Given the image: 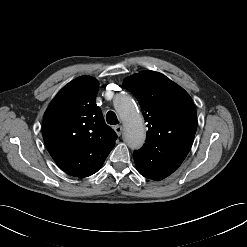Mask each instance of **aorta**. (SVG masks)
Returning <instances> with one entry per match:
<instances>
[{
	"mask_svg": "<svg viewBox=\"0 0 247 247\" xmlns=\"http://www.w3.org/2000/svg\"><path fill=\"white\" fill-rule=\"evenodd\" d=\"M115 109L124 123V140L131 149H139L145 142L146 130L143 116L129 95H121L115 101Z\"/></svg>",
	"mask_w": 247,
	"mask_h": 247,
	"instance_id": "aorta-1",
	"label": "aorta"
}]
</instances>
